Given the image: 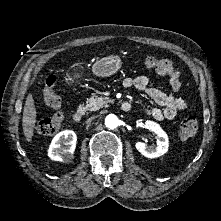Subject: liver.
Instances as JSON below:
<instances>
[{"label": "liver", "instance_id": "6515ba94", "mask_svg": "<svg viewBox=\"0 0 221 221\" xmlns=\"http://www.w3.org/2000/svg\"><path fill=\"white\" fill-rule=\"evenodd\" d=\"M37 111L32 93H29L23 109L22 126L26 140L30 142L34 134Z\"/></svg>", "mask_w": 221, "mask_h": 221}]
</instances>
